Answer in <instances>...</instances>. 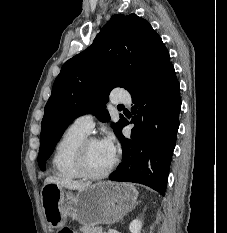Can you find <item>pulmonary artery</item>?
<instances>
[{
  "label": "pulmonary artery",
  "instance_id": "1",
  "mask_svg": "<svg viewBox=\"0 0 227 233\" xmlns=\"http://www.w3.org/2000/svg\"><path fill=\"white\" fill-rule=\"evenodd\" d=\"M117 103H130L131 99L128 94L120 93L113 98ZM77 130L89 134L94 127V118L92 114H83L77 117L71 125Z\"/></svg>",
  "mask_w": 227,
  "mask_h": 233
}]
</instances>
